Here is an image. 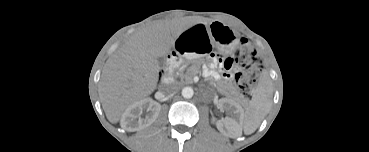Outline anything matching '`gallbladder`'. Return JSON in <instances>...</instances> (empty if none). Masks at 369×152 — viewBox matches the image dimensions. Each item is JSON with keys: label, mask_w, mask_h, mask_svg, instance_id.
<instances>
[{"label": "gallbladder", "mask_w": 369, "mask_h": 152, "mask_svg": "<svg viewBox=\"0 0 369 152\" xmlns=\"http://www.w3.org/2000/svg\"><path fill=\"white\" fill-rule=\"evenodd\" d=\"M158 61H159L160 64L163 63V59L162 58H159Z\"/></svg>", "instance_id": "bac80fb5"}]
</instances>
